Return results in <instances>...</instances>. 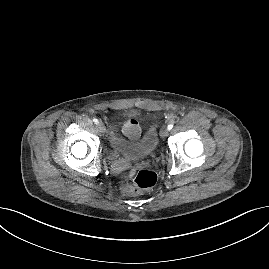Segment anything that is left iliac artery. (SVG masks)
Wrapping results in <instances>:
<instances>
[{
	"label": "left iliac artery",
	"mask_w": 269,
	"mask_h": 269,
	"mask_svg": "<svg viewBox=\"0 0 269 269\" xmlns=\"http://www.w3.org/2000/svg\"><path fill=\"white\" fill-rule=\"evenodd\" d=\"M173 125H174L173 123H170V124L167 126V129H168V130H171V129L173 128Z\"/></svg>",
	"instance_id": "1"
}]
</instances>
